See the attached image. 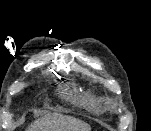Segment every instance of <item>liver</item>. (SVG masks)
<instances>
[{
  "instance_id": "obj_1",
  "label": "liver",
  "mask_w": 151,
  "mask_h": 131,
  "mask_svg": "<svg viewBox=\"0 0 151 131\" xmlns=\"http://www.w3.org/2000/svg\"><path fill=\"white\" fill-rule=\"evenodd\" d=\"M27 131H91L84 121L71 116L52 114L31 124Z\"/></svg>"
}]
</instances>
